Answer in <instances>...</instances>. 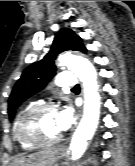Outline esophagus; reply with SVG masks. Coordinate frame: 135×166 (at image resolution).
I'll return each instance as SVG.
<instances>
[{"mask_svg": "<svg viewBox=\"0 0 135 166\" xmlns=\"http://www.w3.org/2000/svg\"><path fill=\"white\" fill-rule=\"evenodd\" d=\"M82 114V110L80 111V115Z\"/></svg>", "mask_w": 135, "mask_h": 166, "instance_id": "1", "label": "esophagus"}]
</instances>
